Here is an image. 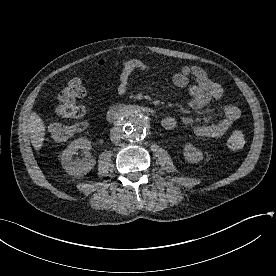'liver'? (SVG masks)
Here are the masks:
<instances>
[{
  "label": "liver",
  "instance_id": "1",
  "mask_svg": "<svg viewBox=\"0 0 276 276\" xmlns=\"http://www.w3.org/2000/svg\"><path fill=\"white\" fill-rule=\"evenodd\" d=\"M45 125L41 117L32 113L28 119V131L35 150H40L45 139Z\"/></svg>",
  "mask_w": 276,
  "mask_h": 276
}]
</instances>
